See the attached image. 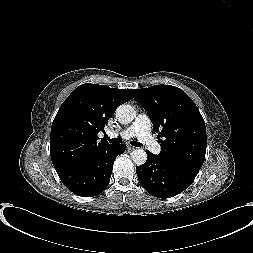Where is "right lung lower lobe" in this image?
Returning a JSON list of instances; mask_svg holds the SVG:
<instances>
[{
  "label": "right lung lower lobe",
  "instance_id": "98d812e1",
  "mask_svg": "<svg viewBox=\"0 0 253 253\" xmlns=\"http://www.w3.org/2000/svg\"><path fill=\"white\" fill-rule=\"evenodd\" d=\"M124 151L123 144L111 145L83 164L58 172V175L63 184L74 194L81 197L96 196L108 186L114 160Z\"/></svg>",
  "mask_w": 253,
  "mask_h": 253
}]
</instances>
